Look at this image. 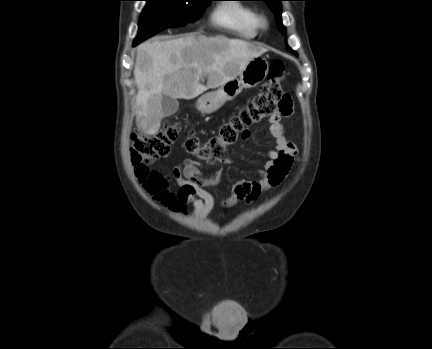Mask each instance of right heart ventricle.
Wrapping results in <instances>:
<instances>
[{"label":"right heart ventricle","mask_w":432,"mask_h":349,"mask_svg":"<svg viewBox=\"0 0 432 349\" xmlns=\"http://www.w3.org/2000/svg\"><path fill=\"white\" fill-rule=\"evenodd\" d=\"M259 14L253 8L242 4H222L213 13L215 24L232 31L244 39L256 37L259 30Z\"/></svg>","instance_id":"obj_1"}]
</instances>
